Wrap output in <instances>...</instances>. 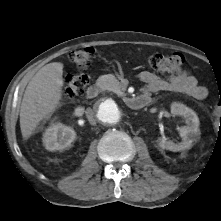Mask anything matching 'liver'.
I'll list each match as a JSON object with an SVG mask.
<instances>
[{"mask_svg":"<svg viewBox=\"0 0 221 221\" xmlns=\"http://www.w3.org/2000/svg\"><path fill=\"white\" fill-rule=\"evenodd\" d=\"M63 67L61 62L46 64L26 87L20 108V128L24 140L33 134L40 121L50 117L60 106Z\"/></svg>","mask_w":221,"mask_h":221,"instance_id":"1","label":"liver"}]
</instances>
